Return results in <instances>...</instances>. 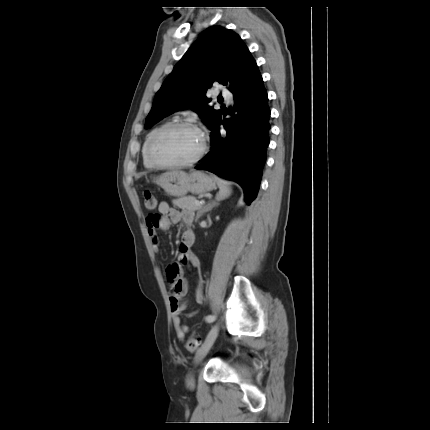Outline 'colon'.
Masks as SVG:
<instances>
[{"mask_svg":"<svg viewBox=\"0 0 430 430\" xmlns=\"http://www.w3.org/2000/svg\"><path fill=\"white\" fill-rule=\"evenodd\" d=\"M144 199H145V205L148 209L155 208L156 198L154 197L152 192L145 191L144 192ZM199 345H200V339L195 337V336H192L187 340L185 346L189 352L194 353L199 348Z\"/></svg>","mask_w":430,"mask_h":430,"instance_id":"obj_1","label":"colon"}]
</instances>
